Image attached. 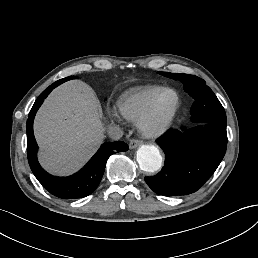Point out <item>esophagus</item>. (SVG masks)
Returning a JSON list of instances; mask_svg holds the SVG:
<instances>
[{"instance_id": "obj_1", "label": "esophagus", "mask_w": 258, "mask_h": 258, "mask_svg": "<svg viewBox=\"0 0 258 258\" xmlns=\"http://www.w3.org/2000/svg\"><path fill=\"white\" fill-rule=\"evenodd\" d=\"M143 144V141L142 140H139V139H133L130 141L129 143V147L130 149H135L136 147H139Z\"/></svg>"}]
</instances>
